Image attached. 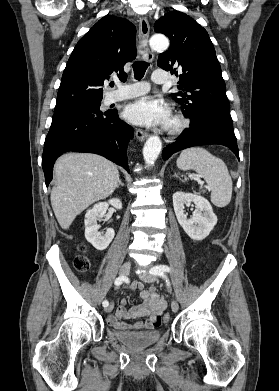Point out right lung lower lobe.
<instances>
[{
  "label": "right lung lower lobe",
  "instance_id": "1",
  "mask_svg": "<svg viewBox=\"0 0 279 391\" xmlns=\"http://www.w3.org/2000/svg\"><path fill=\"white\" fill-rule=\"evenodd\" d=\"M132 137L133 129L119 119L117 110L53 116L42 156L46 186L52 180L55 160L68 151L102 155L129 172L126 149L127 141Z\"/></svg>",
  "mask_w": 279,
  "mask_h": 391
}]
</instances>
